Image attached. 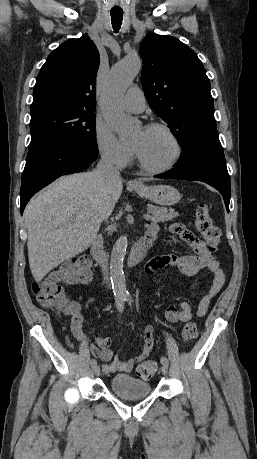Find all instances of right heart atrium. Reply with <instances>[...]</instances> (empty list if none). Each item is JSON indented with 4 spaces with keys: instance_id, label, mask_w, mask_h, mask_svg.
I'll return each mask as SVG.
<instances>
[{
    "instance_id": "right-heart-atrium-1",
    "label": "right heart atrium",
    "mask_w": 257,
    "mask_h": 459,
    "mask_svg": "<svg viewBox=\"0 0 257 459\" xmlns=\"http://www.w3.org/2000/svg\"><path fill=\"white\" fill-rule=\"evenodd\" d=\"M95 140L97 149L106 162L120 168L131 162L134 154L133 148L119 140L103 122L96 123Z\"/></svg>"
}]
</instances>
